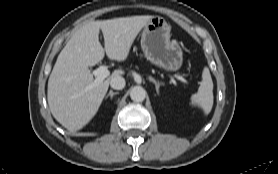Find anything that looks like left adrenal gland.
Segmentation results:
<instances>
[{
    "instance_id": "1",
    "label": "left adrenal gland",
    "mask_w": 278,
    "mask_h": 174,
    "mask_svg": "<svg viewBox=\"0 0 278 174\" xmlns=\"http://www.w3.org/2000/svg\"><path fill=\"white\" fill-rule=\"evenodd\" d=\"M149 80L155 84L156 92L159 94V87L163 85L161 82H157L153 77L149 76Z\"/></svg>"
}]
</instances>
